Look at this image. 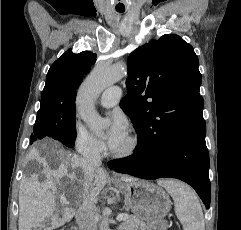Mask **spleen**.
Returning a JSON list of instances; mask_svg holds the SVG:
<instances>
[{
    "label": "spleen",
    "instance_id": "3e777b00",
    "mask_svg": "<svg viewBox=\"0 0 241 230\" xmlns=\"http://www.w3.org/2000/svg\"><path fill=\"white\" fill-rule=\"evenodd\" d=\"M174 201L175 213L185 230H205L203 211L196 193L184 183L159 181Z\"/></svg>",
    "mask_w": 241,
    "mask_h": 230
}]
</instances>
